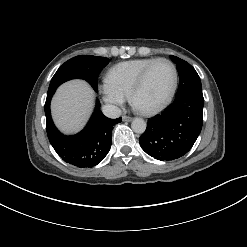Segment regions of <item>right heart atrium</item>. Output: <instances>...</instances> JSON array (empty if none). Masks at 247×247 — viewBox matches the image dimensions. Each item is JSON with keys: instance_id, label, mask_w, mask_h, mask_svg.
Instances as JSON below:
<instances>
[{"instance_id": "1", "label": "right heart atrium", "mask_w": 247, "mask_h": 247, "mask_svg": "<svg viewBox=\"0 0 247 247\" xmlns=\"http://www.w3.org/2000/svg\"><path fill=\"white\" fill-rule=\"evenodd\" d=\"M100 92L103 100L111 107L122 106L127 99V94L107 79L102 81L100 85Z\"/></svg>"}]
</instances>
